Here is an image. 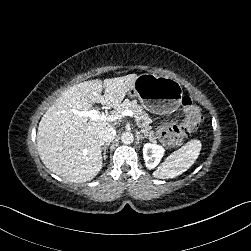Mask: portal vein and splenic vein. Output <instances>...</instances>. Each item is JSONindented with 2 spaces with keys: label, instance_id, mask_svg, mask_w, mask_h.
Instances as JSON below:
<instances>
[{
  "label": "portal vein and splenic vein",
  "instance_id": "18ae733b",
  "mask_svg": "<svg viewBox=\"0 0 251 251\" xmlns=\"http://www.w3.org/2000/svg\"><path fill=\"white\" fill-rule=\"evenodd\" d=\"M72 113L78 115L79 117H89L92 121H107L114 122L122 119L125 116L133 117L134 113L131 110L125 109L119 113H112L110 115L101 114L99 111L93 109L89 111H78L76 109H71Z\"/></svg>",
  "mask_w": 251,
  "mask_h": 251
}]
</instances>
